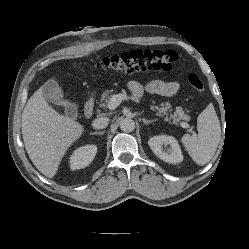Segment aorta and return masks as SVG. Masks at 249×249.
<instances>
[{
  "instance_id": "1",
  "label": "aorta",
  "mask_w": 249,
  "mask_h": 249,
  "mask_svg": "<svg viewBox=\"0 0 249 249\" xmlns=\"http://www.w3.org/2000/svg\"><path fill=\"white\" fill-rule=\"evenodd\" d=\"M120 129L123 132H132L135 129V122L130 118H125L120 122Z\"/></svg>"
}]
</instances>
